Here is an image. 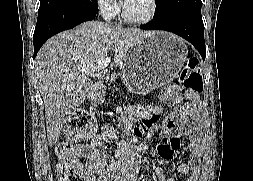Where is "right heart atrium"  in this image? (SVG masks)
<instances>
[{"instance_id": "obj_1", "label": "right heart atrium", "mask_w": 253, "mask_h": 181, "mask_svg": "<svg viewBox=\"0 0 253 181\" xmlns=\"http://www.w3.org/2000/svg\"><path fill=\"white\" fill-rule=\"evenodd\" d=\"M99 13L106 19H113L119 12L117 0H96Z\"/></svg>"}]
</instances>
